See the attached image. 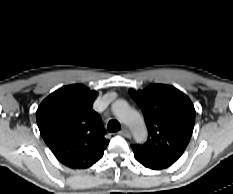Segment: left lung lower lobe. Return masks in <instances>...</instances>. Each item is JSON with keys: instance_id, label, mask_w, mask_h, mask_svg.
Returning a JSON list of instances; mask_svg holds the SVG:
<instances>
[{"instance_id": "1", "label": "left lung lower lobe", "mask_w": 233, "mask_h": 194, "mask_svg": "<svg viewBox=\"0 0 233 194\" xmlns=\"http://www.w3.org/2000/svg\"><path fill=\"white\" fill-rule=\"evenodd\" d=\"M134 157L143 166H145L147 168H150V169H154V170H159V169L167 168L171 164H173V163L168 162V161L152 160V159L140 156V155L135 154V153H134Z\"/></svg>"}]
</instances>
